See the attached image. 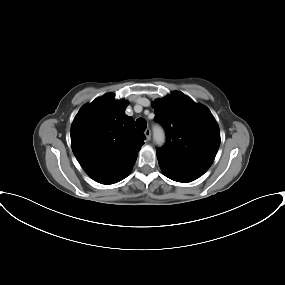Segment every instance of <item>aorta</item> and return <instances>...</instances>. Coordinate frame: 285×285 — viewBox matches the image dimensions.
<instances>
[{"label": "aorta", "instance_id": "obj_1", "mask_svg": "<svg viewBox=\"0 0 285 285\" xmlns=\"http://www.w3.org/2000/svg\"><path fill=\"white\" fill-rule=\"evenodd\" d=\"M154 142L156 145H162L165 141V134H164V131L163 129H161L160 127H156L154 128Z\"/></svg>", "mask_w": 285, "mask_h": 285}]
</instances>
